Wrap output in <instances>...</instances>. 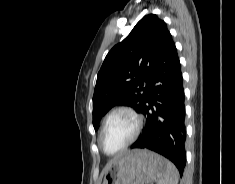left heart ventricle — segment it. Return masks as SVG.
<instances>
[{"instance_id": "left-heart-ventricle-1", "label": "left heart ventricle", "mask_w": 235, "mask_h": 184, "mask_svg": "<svg viewBox=\"0 0 235 184\" xmlns=\"http://www.w3.org/2000/svg\"><path fill=\"white\" fill-rule=\"evenodd\" d=\"M135 130L134 118L126 113L115 114L102 134L101 143L108 153L120 150L131 138Z\"/></svg>"}]
</instances>
